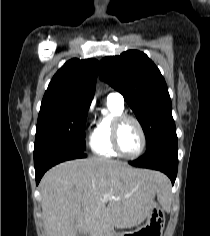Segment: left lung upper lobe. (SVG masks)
<instances>
[{
    "instance_id": "1",
    "label": "left lung upper lobe",
    "mask_w": 210,
    "mask_h": 236,
    "mask_svg": "<svg viewBox=\"0 0 210 236\" xmlns=\"http://www.w3.org/2000/svg\"><path fill=\"white\" fill-rule=\"evenodd\" d=\"M101 78L119 91L134 111L147 140V150L176 133L166 82L146 54L136 50L100 62Z\"/></svg>"
}]
</instances>
